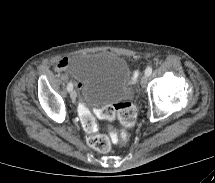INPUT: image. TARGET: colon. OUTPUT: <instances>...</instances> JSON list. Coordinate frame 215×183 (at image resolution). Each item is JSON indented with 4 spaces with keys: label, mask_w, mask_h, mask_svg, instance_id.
<instances>
[{
    "label": "colon",
    "mask_w": 215,
    "mask_h": 183,
    "mask_svg": "<svg viewBox=\"0 0 215 183\" xmlns=\"http://www.w3.org/2000/svg\"><path fill=\"white\" fill-rule=\"evenodd\" d=\"M96 115L105 119H112L117 116L120 123L125 128H129L135 121L136 109L131 103H120L100 108L96 110ZM80 117L83 127L89 132L87 143L95 150L106 152L111 148L112 142L121 145L126 144L128 136L125 131L119 135L111 134L110 137L106 134H99L95 132L94 117L89 112L82 110Z\"/></svg>",
    "instance_id": "colon-1"
}]
</instances>
